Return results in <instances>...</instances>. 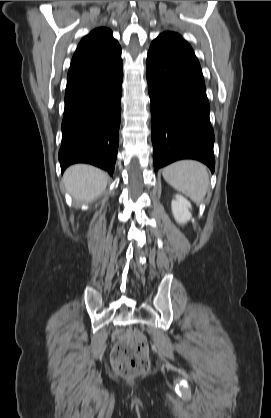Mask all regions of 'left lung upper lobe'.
<instances>
[{
	"mask_svg": "<svg viewBox=\"0 0 271 418\" xmlns=\"http://www.w3.org/2000/svg\"><path fill=\"white\" fill-rule=\"evenodd\" d=\"M158 37L168 39L170 41H173V42L183 46L187 51H189L192 55L195 56L191 46L179 34L174 33V32H164V33L160 34Z\"/></svg>",
	"mask_w": 271,
	"mask_h": 418,
	"instance_id": "5c2ea615",
	"label": "left lung upper lobe"
}]
</instances>
